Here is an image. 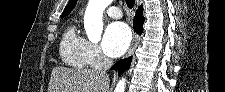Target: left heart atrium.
<instances>
[{"mask_svg":"<svg viewBox=\"0 0 225 92\" xmlns=\"http://www.w3.org/2000/svg\"><path fill=\"white\" fill-rule=\"evenodd\" d=\"M131 42V30L123 22H113L107 26L102 47L109 57L121 56L129 47Z\"/></svg>","mask_w":225,"mask_h":92,"instance_id":"1","label":"left heart atrium"}]
</instances>
